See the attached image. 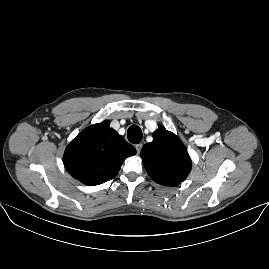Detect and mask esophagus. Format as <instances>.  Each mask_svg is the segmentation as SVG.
<instances>
[{
  "label": "esophagus",
  "mask_w": 269,
  "mask_h": 269,
  "mask_svg": "<svg viewBox=\"0 0 269 269\" xmlns=\"http://www.w3.org/2000/svg\"><path fill=\"white\" fill-rule=\"evenodd\" d=\"M142 147L143 145L141 143L135 145L137 155L141 152Z\"/></svg>",
  "instance_id": "34e87169"
}]
</instances>
